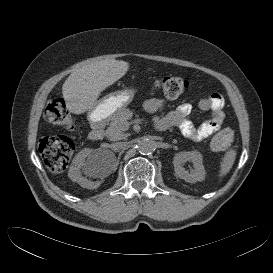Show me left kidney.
<instances>
[{"label": "left kidney", "mask_w": 273, "mask_h": 273, "mask_svg": "<svg viewBox=\"0 0 273 273\" xmlns=\"http://www.w3.org/2000/svg\"><path fill=\"white\" fill-rule=\"evenodd\" d=\"M191 161L194 170L188 172L183 167V163ZM175 175L186 182L196 183L205 179V168L203 166V157L198 151H182L176 153L173 157Z\"/></svg>", "instance_id": "1"}]
</instances>
